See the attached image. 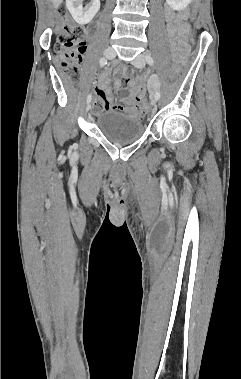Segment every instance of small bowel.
<instances>
[{
  "label": "small bowel",
  "mask_w": 241,
  "mask_h": 379,
  "mask_svg": "<svg viewBox=\"0 0 241 379\" xmlns=\"http://www.w3.org/2000/svg\"><path fill=\"white\" fill-rule=\"evenodd\" d=\"M166 17L168 22V29L171 35H176L175 51L177 56L184 53V47L181 44L179 37L182 36L187 30L185 17L182 14L176 15L173 11L167 10ZM115 87L119 92L124 91L125 95L122 96V105H114L112 103L113 97L110 89V80L106 73H103L98 81L95 83V92L98 97L102 98L110 109H121L125 112L139 115V119L148 116L147 110H140L142 107L141 94L145 91L142 80H135L129 82L127 87H123L121 79L114 80ZM138 119V116H135Z\"/></svg>",
  "instance_id": "1"
}]
</instances>
